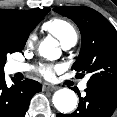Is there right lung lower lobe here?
<instances>
[{
	"mask_svg": "<svg viewBox=\"0 0 117 117\" xmlns=\"http://www.w3.org/2000/svg\"><path fill=\"white\" fill-rule=\"evenodd\" d=\"M7 87L5 76L0 75V117H24L32 96L41 91L39 82L25 79Z\"/></svg>",
	"mask_w": 117,
	"mask_h": 117,
	"instance_id": "98d812e1",
	"label": "right lung lower lobe"
}]
</instances>
